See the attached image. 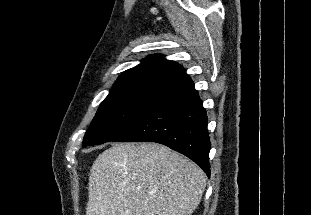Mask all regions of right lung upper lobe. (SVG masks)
Instances as JSON below:
<instances>
[{"label":"right lung upper lobe","mask_w":311,"mask_h":215,"mask_svg":"<svg viewBox=\"0 0 311 215\" xmlns=\"http://www.w3.org/2000/svg\"><path fill=\"white\" fill-rule=\"evenodd\" d=\"M185 75L187 74L183 66L165 59L160 54H155L122 73L113 87L149 84L171 85Z\"/></svg>","instance_id":"1"}]
</instances>
